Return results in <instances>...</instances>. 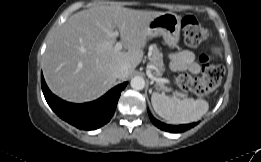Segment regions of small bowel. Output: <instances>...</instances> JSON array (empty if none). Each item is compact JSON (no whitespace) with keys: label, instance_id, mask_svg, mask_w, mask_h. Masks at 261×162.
I'll return each mask as SVG.
<instances>
[{"label":"small bowel","instance_id":"1","mask_svg":"<svg viewBox=\"0 0 261 162\" xmlns=\"http://www.w3.org/2000/svg\"><path fill=\"white\" fill-rule=\"evenodd\" d=\"M170 67L175 71L188 70L194 74H198L201 71V65L196 61L195 55L187 50L171 54Z\"/></svg>","mask_w":261,"mask_h":162}]
</instances>
